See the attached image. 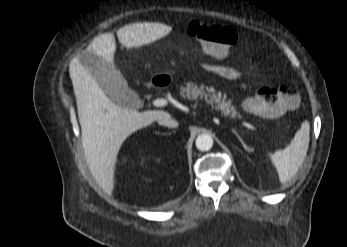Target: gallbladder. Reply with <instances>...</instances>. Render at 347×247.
<instances>
[{"instance_id": "bac80fb5", "label": "gallbladder", "mask_w": 347, "mask_h": 247, "mask_svg": "<svg viewBox=\"0 0 347 247\" xmlns=\"http://www.w3.org/2000/svg\"><path fill=\"white\" fill-rule=\"evenodd\" d=\"M79 60L113 102L128 109L138 105L137 93L128 88L122 73L110 63L89 52L81 53Z\"/></svg>"}]
</instances>
